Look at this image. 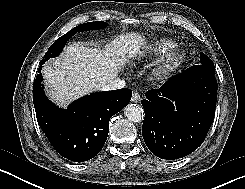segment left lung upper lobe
Returning a JSON list of instances; mask_svg holds the SVG:
<instances>
[{
    "label": "left lung upper lobe",
    "mask_w": 245,
    "mask_h": 189,
    "mask_svg": "<svg viewBox=\"0 0 245 189\" xmlns=\"http://www.w3.org/2000/svg\"><path fill=\"white\" fill-rule=\"evenodd\" d=\"M200 65L208 67L210 70L215 71L214 63L204 53H200Z\"/></svg>",
    "instance_id": "5c2ea615"
}]
</instances>
